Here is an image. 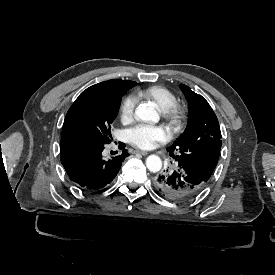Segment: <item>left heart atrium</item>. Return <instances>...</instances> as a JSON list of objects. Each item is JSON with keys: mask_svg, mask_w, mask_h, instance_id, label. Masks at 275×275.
I'll list each match as a JSON object with an SVG mask.
<instances>
[{"mask_svg": "<svg viewBox=\"0 0 275 275\" xmlns=\"http://www.w3.org/2000/svg\"><path fill=\"white\" fill-rule=\"evenodd\" d=\"M171 130L164 125L138 124L126 131L128 142L142 150H150L171 139Z\"/></svg>", "mask_w": 275, "mask_h": 275, "instance_id": "1", "label": "left heart atrium"}]
</instances>
